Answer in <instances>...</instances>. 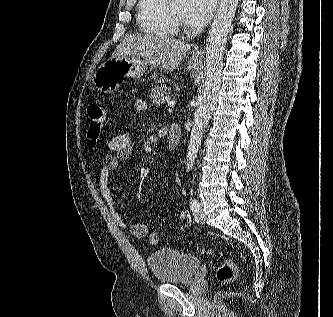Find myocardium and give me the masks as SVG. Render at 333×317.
<instances>
[{"instance_id":"f54148a6","label":"myocardium","mask_w":333,"mask_h":317,"mask_svg":"<svg viewBox=\"0 0 333 317\" xmlns=\"http://www.w3.org/2000/svg\"><path fill=\"white\" fill-rule=\"evenodd\" d=\"M173 0H164L163 11L168 23L178 32H187L188 25L182 22L174 13L172 7Z\"/></svg>"}]
</instances>
